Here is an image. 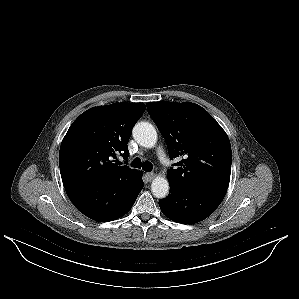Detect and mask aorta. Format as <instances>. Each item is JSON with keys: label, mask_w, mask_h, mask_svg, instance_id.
Returning a JSON list of instances; mask_svg holds the SVG:
<instances>
[{"label": "aorta", "mask_w": 299, "mask_h": 299, "mask_svg": "<svg viewBox=\"0 0 299 299\" xmlns=\"http://www.w3.org/2000/svg\"><path fill=\"white\" fill-rule=\"evenodd\" d=\"M133 137L138 144L146 148H152L157 143L155 127L148 122H139L133 128ZM152 194L156 198H165L169 193L168 180L163 176H157L151 184Z\"/></svg>", "instance_id": "1"}]
</instances>
